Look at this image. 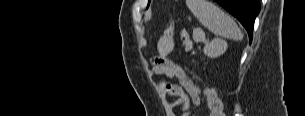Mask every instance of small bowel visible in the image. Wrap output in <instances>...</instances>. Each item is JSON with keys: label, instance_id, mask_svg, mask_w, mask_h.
Listing matches in <instances>:
<instances>
[{"label": "small bowel", "instance_id": "c3829d8e", "mask_svg": "<svg viewBox=\"0 0 305 116\" xmlns=\"http://www.w3.org/2000/svg\"><path fill=\"white\" fill-rule=\"evenodd\" d=\"M173 49V40L164 38L159 41V57L154 59L153 70L157 74H164L170 78L176 77L180 80V85L160 82L159 88L166 94L175 97L170 104L172 108L181 106L183 109L182 116H193L191 103L196 106L201 105L202 96L200 89L192 80H187L181 68L166 58Z\"/></svg>", "mask_w": 305, "mask_h": 116}]
</instances>
